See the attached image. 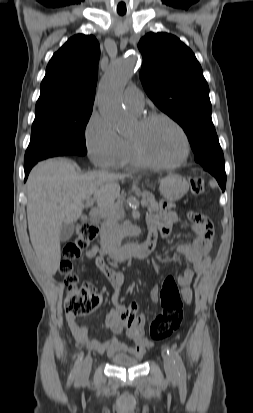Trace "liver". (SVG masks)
<instances>
[{"instance_id":"6515ba94","label":"liver","mask_w":253,"mask_h":413,"mask_svg":"<svg viewBox=\"0 0 253 413\" xmlns=\"http://www.w3.org/2000/svg\"><path fill=\"white\" fill-rule=\"evenodd\" d=\"M64 158L38 163L27 180V219L30 240L41 267L54 275L60 264L59 233L63 224L76 222L84 200L91 196L101 210L112 207L120 194L118 181L129 175L96 171L81 174Z\"/></svg>"}]
</instances>
